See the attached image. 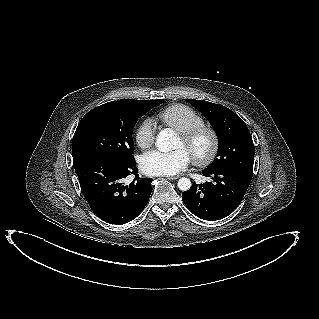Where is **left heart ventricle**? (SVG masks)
Here are the masks:
<instances>
[{"label":"left heart ventricle","instance_id":"left-heart-ventricle-1","mask_svg":"<svg viewBox=\"0 0 319 319\" xmlns=\"http://www.w3.org/2000/svg\"><path fill=\"white\" fill-rule=\"evenodd\" d=\"M176 147L184 148L190 156L191 154L202 155L208 149V139L206 136H201L191 146H186L181 137H179Z\"/></svg>","mask_w":319,"mask_h":319}]
</instances>
